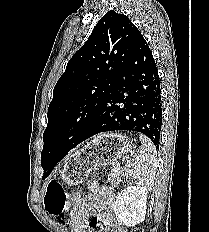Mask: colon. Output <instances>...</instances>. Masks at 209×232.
I'll list each match as a JSON object with an SVG mask.
<instances>
[{"label": "colon", "mask_w": 209, "mask_h": 232, "mask_svg": "<svg viewBox=\"0 0 209 232\" xmlns=\"http://www.w3.org/2000/svg\"><path fill=\"white\" fill-rule=\"evenodd\" d=\"M67 201V193L60 183L55 180L47 182L43 203L49 214L57 217L62 216L65 213ZM61 225L65 226L66 222L62 221Z\"/></svg>", "instance_id": "1"}]
</instances>
